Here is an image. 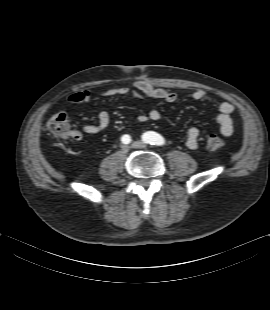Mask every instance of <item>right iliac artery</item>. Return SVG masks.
Masks as SVG:
<instances>
[{"mask_svg": "<svg viewBox=\"0 0 270 310\" xmlns=\"http://www.w3.org/2000/svg\"><path fill=\"white\" fill-rule=\"evenodd\" d=\"M121 141L124 144H129L131 142V137L129 135L125 134L121 137Z\"/></svg>", "mask_w": 270, "mask_h": 310, "instance_id": "obj_1", "label": "right iliac artery"}]
</instances>
